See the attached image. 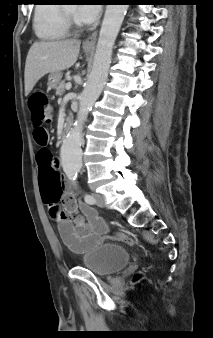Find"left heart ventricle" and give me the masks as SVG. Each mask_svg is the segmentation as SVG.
I'll return each instance as SVG.
<instances>
[{
  "label": "left heart ventricle",
  "mask_w": 213,
  "mask_h": 338,
  "mask_svg": "<svg viewBox=\"0 0 213 338\" xmlns=\"http://www.w3.org/2000/svg\"><path fill=\"white\" fill-rule=\"evenodd\" d=\"M66 8H67V11H68L71 15H73V16L75 15L76 8H75L74 5H67Z\"/></svg>",
  "instance_id": "b2bd125f"
}]
</instances>
